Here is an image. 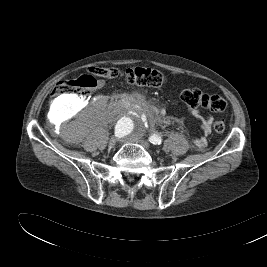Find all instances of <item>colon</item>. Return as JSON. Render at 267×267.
<instances>
[{
	"label": "colon",
	"instance_id": "1",
	"mask_svg": "<svg viewBox=\"0 0 267 267\" xmlns=\"http://www.w3.org/2000/svg\"><path fill=\"white\" fill-rule=\"evenodd\" d=\"M97 77L124 78L128 84L142 87H161L167 80L163 72L149 67H131L123 70L112 67H93L88 74L58 82L52 89L51 95L54 98L65 95L78 99L86 98L97 87ZM181 99L192 109L203 108L222 113L227 108V102L222 96L207 94L196 88L183 90ZM213 129L216 133L222 134L225 131V124L216 120L213 123Z\"/></svg>",
	"mask_w": 267,
	"mask_h": 267
}]
</instances>
